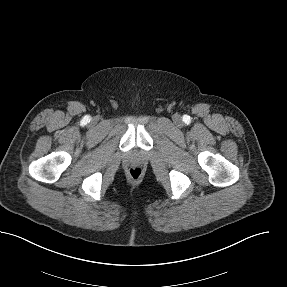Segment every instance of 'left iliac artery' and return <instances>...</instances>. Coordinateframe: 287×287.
<instances>
[{"mask_svg":"<svg viewBox=\"0 0 287 287\" xmlns=\"http://www.w3.org/2000/svg\"><path fill=\"white\" fill-rule=\"evenodd\" d=\"M183 120H184V122L188 123L189 120H190V117L187 116V115H185V116L183 117Z\"/></svg>","mask_w":287,"mask_h":287,"instance_id":"44dca946","label":"left iliac artery"}]
</instances>
